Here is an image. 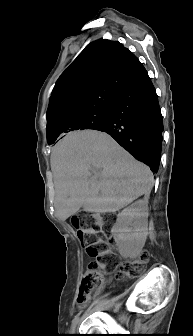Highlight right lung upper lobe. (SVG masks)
<instances>
[{"label": "right lung upper lobe", "mask_w": 193, "mask_h": 336, "mask_svg": "<svg viewBox=\"0 0 193 336\" xmlns=\"http://www.w3.org/2000/svg\"><path fill=\"white\" fill-rule=\"evenodd\" d=\"M141 65L119 42L100 39L89 44L55 84L47 111L48 141L74 131L79 116L110 108Z\"/></svg>", "instance_id": "right-lung-upper-lobe-1"}]
</instances>
